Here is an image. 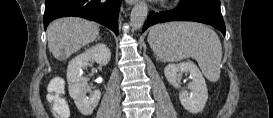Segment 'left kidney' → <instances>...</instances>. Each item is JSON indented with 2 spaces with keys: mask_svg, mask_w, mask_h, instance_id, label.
<instances>
[{
  "mask_svg": "<svg viewBox=\"0 0 273 118\" xmlns=\"http://www.w3.org/2000/svg\"><path fill=\"white\" fill-rule=\"evenodd\" d=\"M178 73L190 74L191 78V82L187 87L189 91L182 89L179 93V100L182 106L193 114L201 112L208 99V90L199 68L193 62L168 64L164 68V74L168 82L175 88H179L177 82Z\"/></svg>",
  "mask_w": 273,
  "mask_h": 118,
  "instance_id": "5707ae66",
  "label": "left kidney"
}]
</instances>
